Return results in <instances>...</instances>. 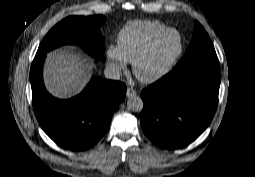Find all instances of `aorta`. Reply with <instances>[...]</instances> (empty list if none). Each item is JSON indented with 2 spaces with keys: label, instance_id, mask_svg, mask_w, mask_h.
I'll return each instance as SVG.
<instances>
[{
  "label": "aorta",
  "instance_id": "1",
  "mask_svg": "<svg viewBox=\"0 0 255 177\" xmlns=\"http://www.w3.org/2000/svg\"><path fill=\"white\" fill-rule=\"evenodd\" d=\"M127 108L132 112H141L143 109V101L140 97L134 96L127 100Z\"/></svg>",
  "mask_w": 255,
  "mask_h": 177
}]
</instances>
